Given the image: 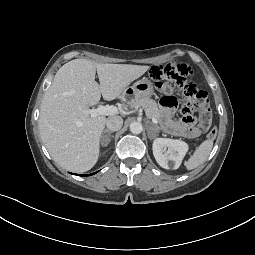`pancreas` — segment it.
Returning <instances> with one entry per match:
<instances>
[{"label": "pancreas", "instance_id": "1", "mask_svg": "<svg viewBox=\"0 0 255 255\" xmlns=\"http://www.w3.org/2000/svg\"><path fill=\"white\" fill-rule=\"evenodd\" d=\"M131 107H142L148 118L160 119L161 115L157 103L150 98H135L130 102Z\"/></svg>", "mask_w": 255, "mask_h": 255}]
</instances>
